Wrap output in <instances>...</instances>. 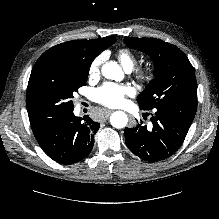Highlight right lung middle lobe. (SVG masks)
<instances>
[{
  "mask_svg": "<svg viewBox=\"0 0 219 219\" xmlns=\"http://www.w3.org/2000/svg\"><path fill=\"white\" fill-rule=\"evenodd\" d=\"M89 68L58 55H42L37 60L26 94L31 127H39L62 112L74 109L73 93L86 84Z\"/></svg>",
  "mask_w": 219,
  "mask_h": 219,
  "instance_id": "1",
  "label": "right lung middle lobe"
}]
</instances>
